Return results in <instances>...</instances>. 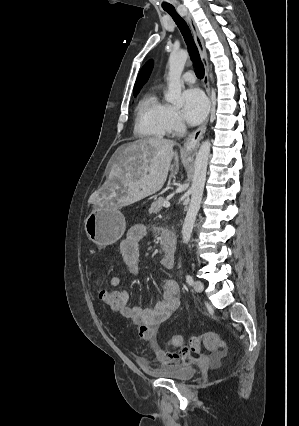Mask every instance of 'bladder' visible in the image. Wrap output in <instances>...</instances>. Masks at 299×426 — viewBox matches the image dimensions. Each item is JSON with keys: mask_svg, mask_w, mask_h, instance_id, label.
Returning a JSON list of instances; mask_svg holds the SVG:
<instances>
[{"mask_svg": "<svg viewBox=\"0 0 299 426\" xmlns=\"http://www.w3.org/2000/svg\"><path fill=\"white\" fill-rule=\"evenodd\" d=\"M145 370L154 377L172 379L177 382H186L195 375V369L190 366H164L158 369L145 367Z\"/></svg>", "mask_w": 299, "mask_h": 426, "instance_id": "1", "label": "bladder"}]
</instances>
